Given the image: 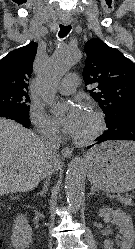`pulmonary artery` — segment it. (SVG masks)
<instances>
[{
  "label": "pulmonary artery",
  "instance_id": "obj_1",
  "mask_svg": "<svg viewBox=\"0 0 135 249\" xmlns=\"http://www.w3.org/2000/svg\"><path fill=\"white\" fill-rule=\"evenodd\" d=\"M79 85V76L75 73L68 74L57 86L61 94L69 95L74 93Z\"/></svg>",
  "mask_w": 135,
  "mask_h": 249
}]
</instances>
